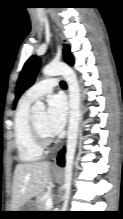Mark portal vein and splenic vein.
I'll return each mask as SVG.
<instances>
[{"mask_svg": "<svg viewBox=\"0 0 123 219\" xmlns=\"http://www.w3.org/2000/svg\"><path fill=\"white\" fill-rule=\"evenodd\" d=\"M53 205V200H52V195L50 194L47 198H46V202H45V207L47 209L51 208Z\"/></svg>", "mask_w": 123, "mask_h": 219, "instance_id": "18ae733b", "label": "portal vein and splenic vein"}]
</instances>
